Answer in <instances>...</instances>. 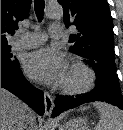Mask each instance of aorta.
Masks as SVG:
<instances>
[{"label":"aorta","instance_id":"762f6f07","mask_svg":"<svg viewBox=\"0 0 123 130\" xmlns=\"http://www.w3.org/2000/svg\"><path fill=\"white\" fill-rule=\"evenodd\" d=\"M45 15L51 19H60L63 17V8L58 3H50L45 10Z\"/></svg>","mask_w":123,"mask_h":130}]
</instances>
